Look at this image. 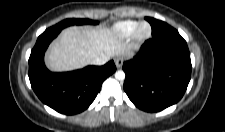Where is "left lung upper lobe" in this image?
<instances>
[{"instance_id": "5c2ea615", "label": "left lung upper lobe", "mask_w": 225, "mask_h": 132, "mask_svg": "<svg viewBox=\"0 0 225 132\" xmlns=\"http://www.w3.org/2000/svg\"><path fill=\"white\" fill-rule=\"evenodd\" d=\"M151 27H152V36L153 37L177 32V30H175L174 28H172L171 26H169L165 22H162V24L160 26H152V24H151Z\"/></svg>"}]
</instances>
